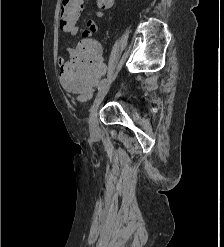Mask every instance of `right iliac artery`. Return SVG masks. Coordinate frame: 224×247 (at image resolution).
I'll return each mask as SVG.
<instances>
[{
    "label": "right iliac artery",
    "mask_w": 224,
    "mask_h": 247,
    "mask_svg": "<svg viewBox=\"0 0 224 247\" xmlns=\"http://www.w3.org/2000/svg\"><path fill=\"white\" fill-rule=\"evenodd\" d=\"M105 84H106V79H103L98 86V90H101Z\"/></svg>",
    "instance_id": "82829eb1"
}]
</instances>
